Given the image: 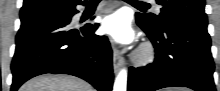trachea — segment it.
I'll use <instances>...</instances> for the list:
<instances>
[{
	"instance_id": "trachea-1",
	"label": "trachea",
	"mask_w": 220,
	"mask_h": 91,
	"mask_svg": "<svg viewBox=\"0 0 220 91\" xmlns=\"http://www.w3.org/2000/svg\"><path fill=\"white\" fill-rule=\"evenodd\" d=\"M127 3L132 4L137 7H150L148 3L137 1V0H125Z\"/></svg>"
}]
</instances>
